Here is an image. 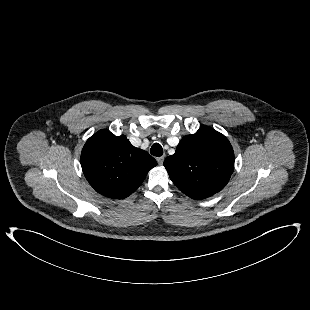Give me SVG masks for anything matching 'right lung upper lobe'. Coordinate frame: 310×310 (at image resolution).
Wrapping results in <instances>:
<instances>
[{"instance_id": "cb5924a9", "label": "right lung upper lobe", "mask_w": 310, "mask_h": 310, "mask_svg": "<svg viewBox=\"0 0 310 310\" xmlns=\"http://www.w3.org/2000/svg\"><path fill=\"white\" fill-rule=\"evenodd\" d=\"M156 165L148 152L134 147L125 136H115L108 130L91 136L81 152V166L87 181L109 198L129 196Z\"/></svg>"}]
</instances>
